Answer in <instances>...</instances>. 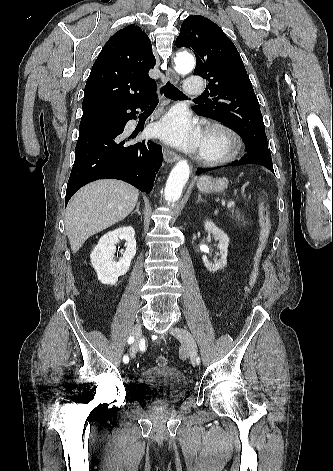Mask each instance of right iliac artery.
<instances>
[{
  "label": "right iliac artery",
  "mask_w": 333,
  "mask_h": 471,
  "mask_svg": "<svg viewBox=\"0 0 333 471\" xmlns=\"http://www.w3.org/2000/svg\"><path fill=\"white\" fill-rule=\"evenodd\" d=\"M133 342H134V337H133V336H130V337L128 338V344H132ZM123 362H124V363H128V362H129V357H128V355H125V356L123 357Z\"/></svg>",
  "instance_id": "right-iliac-artery-1"
}]
</instances>
